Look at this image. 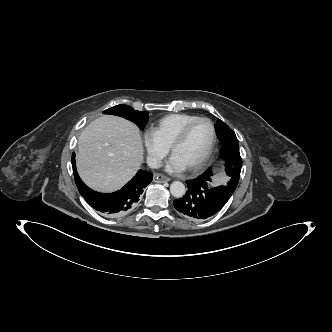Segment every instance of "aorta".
<instances>
[{
    "instance_id": "obj_1",
    "label": "aorta",
    "mask_w": 332,
    "mask_h": 332,
    "mask_svg": "<svg viewBox=\"0 0 332 332\" xmlns=\"http://www.w3.org/2000/svg\"><path fill=\"white\" fill-rule=\"evenodd\" d=\"M170 192L175 198H181L186 193L185 185L182 182L174 181L170 185Z\"/></svg>"
}]
</instances>
